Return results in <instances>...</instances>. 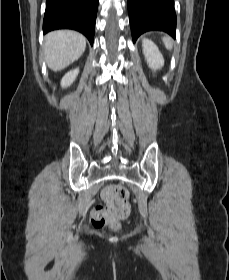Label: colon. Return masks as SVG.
Listing matches in <instances>:
<instances>
[{
	"label": "colon",
	"instance_id": "colon-1",
	"mask_svg": "<svg viewBox=\"0 0 229 280\" xmlns=\"http://www.w3.org/2000/svg\"><path fill=\"white\" fill-rule=\"evenodd\" d=\"M107 206H96L92 211V223L95 227L118 228L120 222L128 216L130 206L128 191L121 184H112L102 191Z\"/></svg>",
	"mask_w": 229,
	"mask_h": 280
}]
</instances>
